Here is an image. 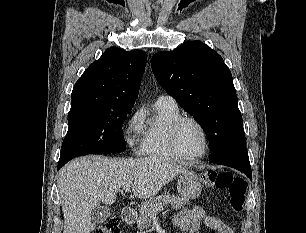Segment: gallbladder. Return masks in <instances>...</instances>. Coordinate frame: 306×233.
<instances>
[{
    "mask_svg": "<svg viewBox=\"0 0 306 233\" xmlns=\"http://www.w3.org/2000/svg\"><path fill=\"white\" fill-rule=\"evenodd\" d=\"M109 216V209L98 206L92 211L91 218L95 223H103Z\"/></svg>",
    "mask_w": 306,
    "mask_h": 233,
    "instance_id": "obj_1",
    "label": "gallbladder"
}]
</instances>
